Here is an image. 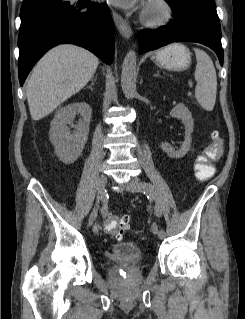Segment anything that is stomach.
<instances>
[{"instance_id":"1","label":"stomach","mask_w":245,"mask_h":319,"mask_svg":"<svg viewBox=\"0 0 245 319\" xmlns=\"http://www.w3.org/2000/svg\"><path fill=\"white\" fill-rule=\"evenodd\" d=\"M152 60L165 69L182 71L190 66L191 53L185 45L174 43L156 51Z\"/></svg>"}]
</instances>
